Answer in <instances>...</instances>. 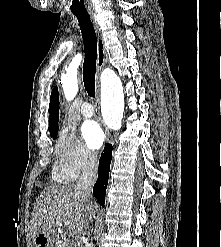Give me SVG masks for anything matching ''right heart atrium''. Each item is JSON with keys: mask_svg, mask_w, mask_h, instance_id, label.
I'll use <instances>...</instances> for the list:
<instances>
[{"mask_svg": "<svg viewBox=\"0 0 221 247\" xmlns=\"http://www.w3.org/2000/svg\"><path fill=\"white\" fill-rule=\"evenodd\" d=\"M95 154L89 150L70 129L60 130L56 148L53 178L57 182L70 183L91 169Z\"/></svg>", "mask_w": 221, "mask_h": 247, "instance_id": "d8ad5b80", "label": "right heart atrium"}]
</instances>
